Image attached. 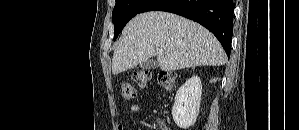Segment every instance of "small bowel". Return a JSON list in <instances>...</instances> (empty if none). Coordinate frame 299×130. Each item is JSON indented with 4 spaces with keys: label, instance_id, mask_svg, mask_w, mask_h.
I'll list each match as a JSON object with an SVG mask.
<instances>
[{
    "label": "small bowel",
    "instance_id": "1",
    "mask_svg": "<svg viewBox=\"0 0 299 130\" xmlns=\"http://www.w3.org/2000/svg\"><path fill=\"white\" fill-rule=\"evenodd\" d=\"M130 112L134 113V114H139L142 111V108L140 105L138 104H132L129 107ZM141 123L146 126V127H150V123L146 120H141ZM119 130H124V125H119L118 127Z\"/></svg>",
    "mask_w": 299,
    "mask_h": 130
}]
</instances>
